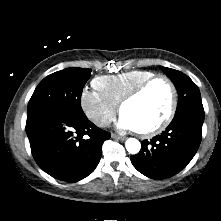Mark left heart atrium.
Wrapping results in <instances>:
<instances>
[{"label":"left heart atrium","instance_id":"obj_1","mask_svg":"<svg viewBox=\"0 0 221 221\" xmlns=\"http://www.w3.org/2000/svg\"><path fill=\"white\" fill-rule=\"evenodd\" d=\"M118 126L123 130H137L134 122L125 114L120 115Z\"/></svg>","mask_w":221,"mask_h":221}]
</instances>
